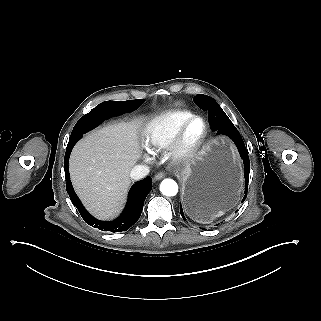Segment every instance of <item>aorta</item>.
I'll list each match as a JSON object with an SVG mask.
<instances>
[{"label": "aorta", "mask_w": 321, "mask_h": 321, "mask_svg": "<svg viewBox=\"0 0 321 321\" xmlns=\"http://www.w3.org/2000/svg\"><path fill=\"white\" fill-rule=\"evenodd\" d=\"M160 191L165 196H175L178 192V185L172 179H165L160 184Z\"/></svg>", "instance_id": "obj_1"}]
</instances>
